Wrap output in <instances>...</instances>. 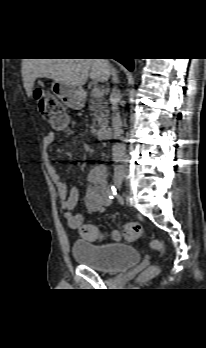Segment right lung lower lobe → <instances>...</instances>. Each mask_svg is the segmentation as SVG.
Returning <instances> with one entry per match:
<instances>
[{
    "label": "right lung lower lobe",
    "instance_id": "98d812e1",
    "mask_svg": "<svg viewBox=\"0 0 206 348\" xmlns=\"http://www.w3.org/2000/svg\"><path fill=\"white\" fill-rule=\"evenodd\" d=\"M120 63H122L128 70H133V59L132 58H126V59H116Z\"/></svg>",
    "mask_w": 206,
    "mask_h": 348
}]
</instances>
